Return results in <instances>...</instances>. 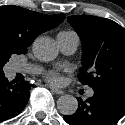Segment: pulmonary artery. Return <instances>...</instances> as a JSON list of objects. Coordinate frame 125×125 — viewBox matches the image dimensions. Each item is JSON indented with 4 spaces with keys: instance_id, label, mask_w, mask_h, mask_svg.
<instances>
[{
    "instance_id": "pulmonary-artery-1",
    "label": "pulmonary artery",
    "mask_w": 125,
    "mask_h": 125,
    "mask_svg": "<svg viewBox=\"0 0 125 125\" xmlns=\"http://www.w3.org/2000/svg\"><path fill=\"white\" fill-rule=\"evenodd\" d=\"M57 42L62 52L65 54H73L79 45V36L75 32H60L57 35ZM14 72L37 74L40 72V69L36 66L29 64H15ZM93 91L89 90L87 96H92Z\"/></svg>"
}]
</instances>
